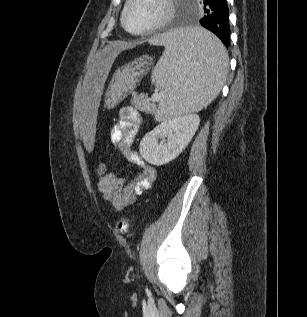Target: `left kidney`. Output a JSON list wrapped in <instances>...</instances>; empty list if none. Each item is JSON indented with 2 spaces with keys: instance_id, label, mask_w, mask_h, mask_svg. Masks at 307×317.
Returning <instances> with one entry per match:
<instances>
[{
  "instance_id": "1",
  "label": "left kidney",
  "mask_w": 307,
  "mask_h": 317,
  "mask_svg": "<svg viewBox=\"0 0 307 317\" xmlns=\"http://www.w3.org/2000/svg\"><path fill=\"white\" fill-rule=\"evenodd\" d=\"M199 123L197 114L177 116L164 121L142 138L139 149L141 156L156 166L172 161L195 135ZM159 139L162 141L159 142Z\"/></svg>"
}]
</instances>
